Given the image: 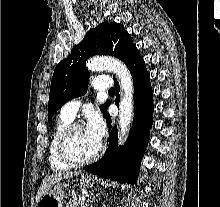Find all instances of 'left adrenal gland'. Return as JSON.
I'll use <instances>...</instances> for the list:
<instances>
[{
    "label": "left adrenal gland",
    "instance_id": "1",
    "mask_svg": "<svg viewBox=\"0 0 220 207\" xmlns=\"http://www.w3.org/2000/svg\"><path fill=\"white\" fill-rule=\"evenodd\" d=\"M92 198L90 201V207H93V202L95 201L96 197H98V194L94 195L93 193L91 194Z\"/></svg>",
    "mask_w": 220,
    "mask_h": 207
}]
</instances>
